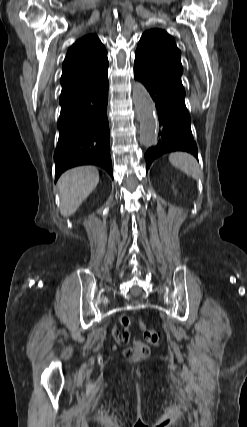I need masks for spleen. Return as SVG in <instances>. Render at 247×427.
<instances>
[{"mask_svg": "<svg viewBox=\"0 0 247 427\" xmlns=\"http://www.w3.org/2000/svg\"><path fill=\"white\" fill-rule=\"evenodd\" d=\"M170 163L195 180L201 178V171L196 159L186 152H174L169 155Z\"/></svg>", "mask_w": 247, "mask_h": 427, "instance_id": "spleen-1", "label": "spleen"}]
</instances>
